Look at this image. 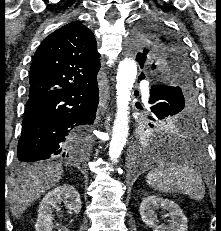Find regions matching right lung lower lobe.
<instances>
[{
    "mask_svg": "<svg viewBox=\"0 0 221 231\" xmlns=\"http://www.w3.org/2000/svg\"><path fill=\"white\" fill-rule=\"evenodd\" d=\"M97 81L81 88L51 90L28 98L18 142L19 162H33L85 153L84 129L95 118L98 105Z\"/></svg>",
    "mask_w": 221,
    "mask_h": 231,
    "instance_id": "obj_1",
    "label": "right lung lower lobe"
}]
</instances>
